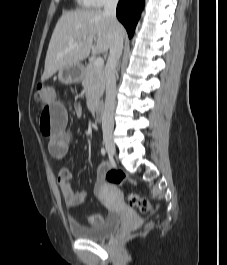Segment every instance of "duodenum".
<instances>
[{"label": "duodenum", "instance_id": "duodenum-1", "mask_svg": "<svg viewBox=\"0 0 227 265\" xmlns=\"http://www.w3.org/2000/svg\"><path fill=\"white\" fill-rule=\"evenodd\" d=\"M91 112H92L94 119H96L97 121H101L104 118V107L100 103L95 104L92 107Z\"/></svg>", "mask_w": 227, "mask_h": 265}]
</instances>
